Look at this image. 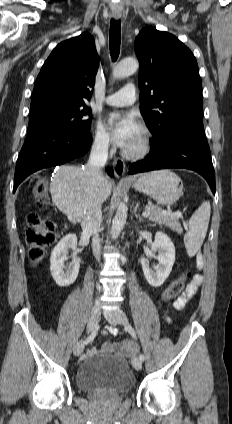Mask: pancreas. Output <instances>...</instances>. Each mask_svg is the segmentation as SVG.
Instances as JSON below:
<instances>
[{
    "label": "pancreas",
    "instance_id": "cf45deb5",
    "mask_svg": "<svg viewBox=\"0 0 232 424\" xmlns=\"http://www.w3.org/2000/svg\"><path fill=\"white\" fill-rule=\"evenodd\" d=\"M145 210L150 212V215L148 216V219L150 221L163 224L166 227L172 229L173 231L180 230L179 216L175 213H172L170 211H163L160 208L152 205H147L145 207Z\"/></svg>",
    "mask_w": 232,
    "mask_h": 424
}]
</instances>
